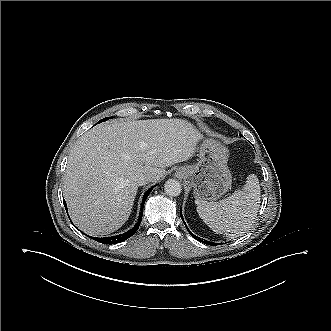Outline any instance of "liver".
<instances>
[{"label": "liver", "mask_w": 331, "mask_h": 331, "mask_svg": "<svg viewBox=\"0 0 331 331\" xmlns=\"http://www.w3.org/2000/svg\"><path fill=\"white\" fill-rule=\"evenodd\" d=\"M201 134L181 119L112 121L75 143L64 174V197L72 221L91 236L118 230L128 220L136 179L164 176L166 167L189 160Z\"/></svg>", "instance_id": "6515ba94"}]
</instances>
